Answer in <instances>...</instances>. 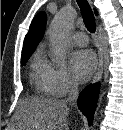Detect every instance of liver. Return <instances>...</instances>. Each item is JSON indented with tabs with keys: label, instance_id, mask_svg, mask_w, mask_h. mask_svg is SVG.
I'll return each mask as SVG.
<instances>
[{
	"label": "liver",
	"instance_id": "6515ba94",
	"mask_svg": "<svg viewBox=\"0 0 123 130\" xmlns=\"http://www.w3.org/2000/svg\"><path fill=\"white\" fill-rule=\"evenodd\" d=\"M68 116L65 102L31 96L20 101L7 130H68Z\"/></svg>",
	"mask_w": 123,
	"mask_h": 130
}]
</instances>
